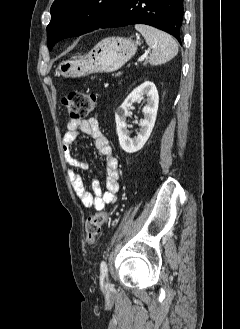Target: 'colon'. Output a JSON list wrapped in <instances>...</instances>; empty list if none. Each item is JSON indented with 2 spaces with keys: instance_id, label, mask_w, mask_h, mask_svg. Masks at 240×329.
<instances>
[{
  "instance_id": "5ec220e1",
  "label": "colon",
  "mask_w": 240,
  "mask_h": 329,
  "mask_svg": "<svg viewBox=\"0 0 240 329\" xmlns=\"http://www.w3.org/2000/svg\"><path fill=\"white\" fill-rule=\"evenodd\" d=\"M63 104L67 109L68 116L73 120H78L90 113L97 104V96L90 92L70 91L63 97ZM108 217L106 212H99L87 218L85 229L89 245L94 244Z\"/></svg>"
}]
</instances>
